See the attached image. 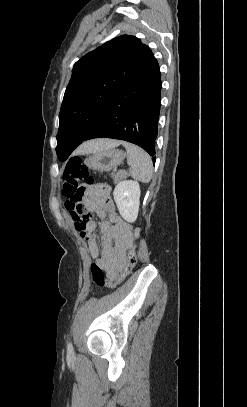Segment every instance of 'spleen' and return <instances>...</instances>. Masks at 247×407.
Returning <instances> with one entry per match:
<instances>
[{
	"label": "spleen",
	"instance_id": "spleen-1",
	"mask_svg": "<svg viewBox=\"0 0 247 407\" xmlns=\"http://www.w3.org/2000/svg\"><path fill=\"white\" fill-rule=\"evenodd\" d=\"M127 151V163L130 166L129 173L132 178L142 182H150L153 176L151 157L143 149L128 142H122Z\"/></svg>",
	"mask_w": 247,
	"mask_h": 407
}]
</instances>
